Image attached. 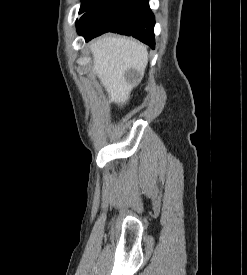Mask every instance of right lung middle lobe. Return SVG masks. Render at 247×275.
<instances>
[{"mask_svg":"<svg viewBox=\"0 0 247 275\" xmlns=\"http://www.w3.org/2000/svg\"><path fill=\"white\" fill-rule=\"evenodd\" d=\"M105 1L106 0H82L79 13L88 12Z\"/></svg>","mask_w":247,"mask_h":275,"instance_id":"dd1d6c3e","label":"right lung middle lobe"}]
</instances>
